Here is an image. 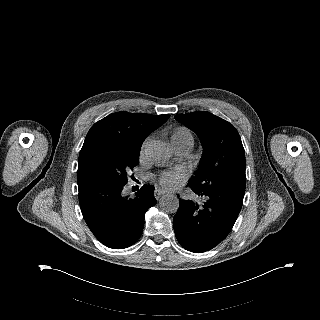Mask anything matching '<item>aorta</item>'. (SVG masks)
<instances>
[{"instance_id":"obj_1","label":"aorta","mask_w":320,"mask_h":320,"mask_svg":"<svg viewBox=\"0 0 320 320\" xmlns=\"http://www.w3.org/2000/svg\"><path fill=\"white\" fill-rule=\"evenodd\" d=\"M147 158L157 166L165 165L170 157L171 151L169 146L163 141H153L145 149ZM160 207L167 213H175L179 208V200L173 194H167L160 199Z\"/></svg>"}]
</instances>
